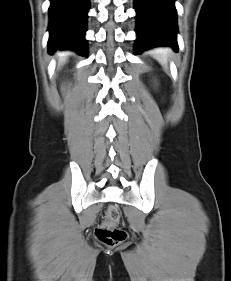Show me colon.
<instances>
[{"label": "colon", "mask_w": 231, "mask_h": 281, "mask_svg": "<svg viewBox=\"0 0 231 281\" xmlns=\"http://www.w3.org/2000/svg\"><path fill=\"white\" fill-rule=\"evenodd\" d=\"M121 214L116 206H110L101 224L96 228L97 239L107 246H116L125 241L127 233L119 227Z\"/></svg>", "instance_id": "obj_1"}]
</instances>
